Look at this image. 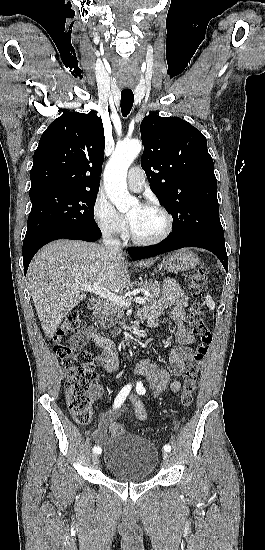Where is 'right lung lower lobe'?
<instances>
[{
  "label": "right lung lower lobe",
  "instance_id": "1",
  "mask_svg": "<svg viewBox=\"0 0 265 550\" xmlns=\"http://www.w3.org/2000/svg\"><path fill=\"white\" fill-rule=\"evenodd\" d=\"M101 237L99 228L63 227L23 243L24 274L35 253L45 244L57 239H79L94 242Z\"/></svg>",
  "mask_w": 265,
  "mask_h": 550
}]
</instances>
